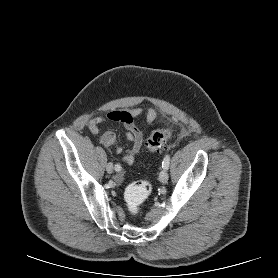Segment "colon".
I'll list each match as a JSON object with an SVG mask.
<instances>
[{"label":"colon","mask_w":278,"mask_h":278,"mask_svg":"<svg viewBox=\"0 0 278 278\" xmlns=\"http://www.w3.org/2000/svg\"><path fill=\"white\" fill-rule=\"evenodd\" d=\"M172 137V131L168 128L153 131L145 141V147L149 151L161 149ZM152 190L148 181H137L127 186L125 190V202L127 209L132 216H137L141 212V207Z\"/></svg>","instance_id":"colon-1"}]
</instances>
